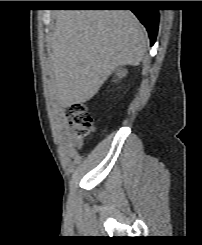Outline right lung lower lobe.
Masks as SVG:
<instances>
[{
  "label": "right lung lower lobe",
  "mask_w": 202,
  "mask_h": 245,
  "mask_svg": "<svg viewBox=\"0 0 202 245\" xmlns=\"http://www.w3.org/2000/svg\"><path fill=\"white\" fill-rule=\"evenodd\" d=\"M144 3L142 1H133L131 4L133 9L131 11L137 16L140 22L146 27L151 45L154 44L159 24V13L158 10L155 9H147L141 7ZM85 6H126L122 5V3H86Z\"/></svg>",
  "instance_id": "obj_1"
}]
</instances>
